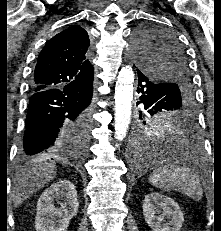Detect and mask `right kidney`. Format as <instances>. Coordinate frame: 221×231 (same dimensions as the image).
I'll return each instance as SVG.
<instances>
[{"label": "right kidney", "mask_w": 221, "mask_h": 231, "mask_svg": "<svg viewBox=\"0 0 221 231\" xmlns=\"http://www.w3.org/2000/svg\"><path fill=\"white\" fill-rule=\"evenodd\" d=\"M55 200L63 201L60 208L55 206ZM78 207L77 192L71 182L59 180L51 184L37 203L36 231H67L69 221L78 213Z\"/></svg>", "instance_id": "obj_1"}]
</instances>
